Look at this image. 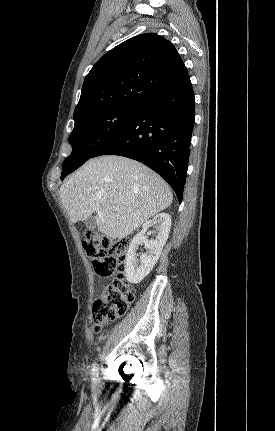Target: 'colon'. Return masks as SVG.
Listing matches in <instances>:
<instances>
[{
  "label": "colon",
  "instance_id": "1",
  "mask_svg": "<svg viewBox=\"0 0 275 431\" xmlns=\"http://www.w3.org/2000/svg\"><path fill=\"white\" fill-rule=\"evenodd\" d=\"M83 248L99 278L115 274L114 281L102 290L93 303V330L98 332L103 325L124 315L135 300L124 275L128 240H113L99 233H90L83 242Z\"/></svg>",
  "mask_w": 275,
  "mask_h": 431
}]
</instances>
